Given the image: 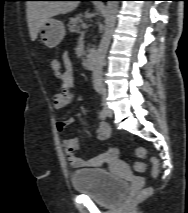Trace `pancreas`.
I'll return each instance as SVG.
<instances>
[{
  "instance_id": "obj_1",
  "label": "pancreas",
  "mask_w": 188,
  "mask_h": 213,
  "mask_svg": "<svg viewBox=\"0 0 188 213\" xmlns=\"http://www.w3.org/2000/svg\"><path fill=\"white\" fill-rule=\"evenodd\" d=\"M83 18L81 15H76L72 18H70L68 23V29L70 32L79 33V26L83 24Z\"/></svg>"
}]
</instances>
